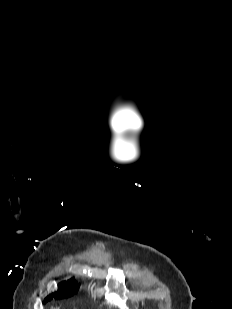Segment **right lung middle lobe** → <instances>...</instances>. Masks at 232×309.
<instances>
[{
    "label": "right lung middle lobe",
    "mask_w": 232,
    "mask_h": 309,
    "mask_svg": "<svg viewBox=\"0 0 232 309\" xmlns=\"http://www.w3.org/2000/svg\"><path fill=\"white\" fill-rule=\"evenodd\" d=\"M75 284H72L70 286H59V289L57 292L55 293H52L50 294L49 296H52V297H55L56 295H59V296H63V297H70L72 296L75 292H76V288H75ZM47 296V297H49ZM45 298L44 302L48 301V300H51L52 298ZM55 299V298H54Z\"/></svg>",
    "instance_id": "dd1d6c3e"
}]
</instances>
